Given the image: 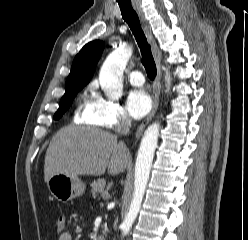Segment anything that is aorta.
Wrapping results in <instances>:
<instances>
[{
    "mask_svg": "<svg viewBox=\"0 0 248 240\" xmlns=\"http://www.w3.org/2000/svg\"><path fill=\"white\" fill-rule=\"evenodd\" d=\"M132 55L131 46H121L113 51L103 63L100 73V85L106 96L111 100H117L123 94L122 75L123 70ZM167 86L170 85V77L166 76ZM159 136V123L150 125L141 140L135 163L134 192L129 211L121 224L122 237L126 236L141 208L145 190L148 184L152 161L157 147Z\"/></svg>",
    "mask_w": 248,
    "mask_h": 240,
    "instance_id": "1",
    "label": "aorta"
}]
</instances>
